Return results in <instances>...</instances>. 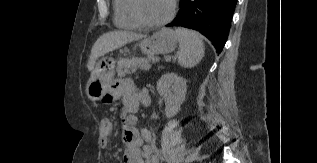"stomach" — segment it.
Listing matches in <instances>:
<instances>
[{"mask_svg":"<svg viewBox=\"0 0 317 163\" xmlns=\"http://www.w3.org/2000/svg\"><path fill=\"white\" fill-rule=\"evenodd\" d=\"M177 35L172 29L163 28L155 32L151 37L144 38L138 43V47L145 55L167 54L175 50ZM114 74V65L108 62H98L92 71L86 86V94L92 101H99L106 95Z\"/></svg>","mask_w":317,"mask_h":163,"instance_id":"0dacf381","label":"stomach"}]
</instances>
